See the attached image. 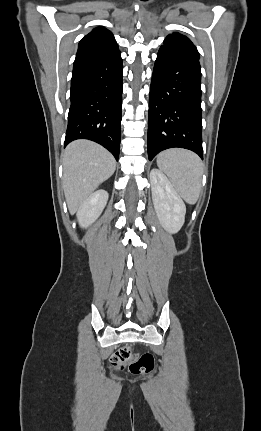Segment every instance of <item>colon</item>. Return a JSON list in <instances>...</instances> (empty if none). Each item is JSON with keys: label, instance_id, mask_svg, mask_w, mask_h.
Wrapping results in <instances>:
<instances>
[{"label": "colon", "instance_id": "obj_1", "mask_svg": "<svg viewBox=\"0 0 261 431\" xmlns=\"http://www.w3.org/2000/svg\"><path fill=\"white\" fill-rule=\"evenodd\" d=\"M110 362L113 368H128L135 375L149 373L154 367V358L151 353L136 355L128 347L121 348L113 353L110 357Z\"/></svg>", "mask_w": 261, "mask_h": 431}]
</instances>
